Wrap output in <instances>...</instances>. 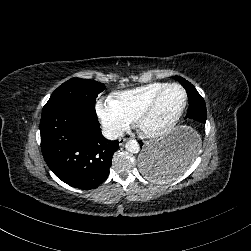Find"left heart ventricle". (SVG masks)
<instances>
[{"instance_id":"obj_1","label":"left heart ventricle","mask_w":251,"mask_h":251,"mask_svg":"<svg viewBox=\"0 0 251 251\" xmlns=\"http://www.w3.org/2000/svg\"><path fill=\"white\" fill-rule=\"evenodd\" d=\"M184 103V92L178 88H169L163 94L153 112L144 119V128L151 132L171 124L178 118Z\"/></svg>"}]
</instances>
